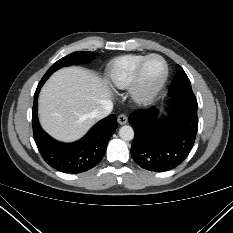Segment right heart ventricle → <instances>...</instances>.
<instances>
[{"mask_svg":"<svg viewBox=\"0 0 233 233\" xmlns=\"http://www.w3.org/2000/svg\"><path fill=\"white\" fill-rule=\"evenodd\" d=\"M145 57V55L128 54L114 59L107 68L108 82L118 89L129 88L137 67Z\"/></svg>","mask_w":233,"mask_h":233,"instance_id":"obj_1","label":"right heart ventricle"}]
</instances>
